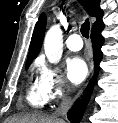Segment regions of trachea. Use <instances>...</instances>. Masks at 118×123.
Returning <instances> with one entry per match:
<instances>
[{
    "instance_id": "1",
    "label": "trachea",
    "mask_w": 118,
    "mask_h": 123,
    "mask_svg": "<svg viewBox=\"0 0 118 123\" xmlns=\"http://www.w3.org/2000/svg\"><path fill=\"white\" fill-rule=\"evenodd\" d=\"M89 29H90L89 20L86 19V21L82 24L81 29H80L83 37L89 38Z\"/></svg>"
}]
</instances>
